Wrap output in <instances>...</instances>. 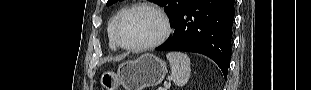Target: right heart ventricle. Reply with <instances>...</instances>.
<instances>
[{"instance_id":"1","label":"right heart ventricle","mask_w":311,"mask_h":90,"mask_svg":"<svg viewBox=\"0 0 311 90\" xmlns=\"http://www.w3.org/2000/svg\"><path fill=\"white\" fill-rule=\"evenodd\" d=\"M126 10L125 8H121L119 9L110 19L109 23H108V27H107V33H108V41H109V46L111 49L115 50L118 48L117 44L115 43L114 40V36H113V30H114V25L115 22L117 20V18L119 17V15Z\"/></svg>"}]
</instances>
